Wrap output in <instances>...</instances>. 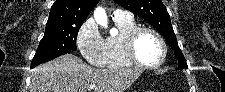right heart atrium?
<instances>
[{"label": "right heart atrium", "instance_id": "right-heart-atrium-1", "mask_svg": "<svg viewBox=\"0 0 225 92\" xmlns=\"http://www.w3.org/2000/svg\"><path fill=\"white\" fill-rule=\"evenodd\" d=\"M77 47L85 61L93 66L105 65V40L94 19H87L76 36Z\"/></svg>", "mask_w": 225, "mask_h": 92}]
</instances>
